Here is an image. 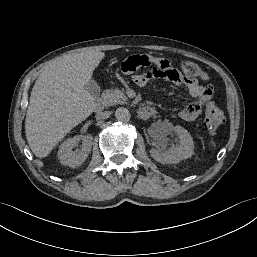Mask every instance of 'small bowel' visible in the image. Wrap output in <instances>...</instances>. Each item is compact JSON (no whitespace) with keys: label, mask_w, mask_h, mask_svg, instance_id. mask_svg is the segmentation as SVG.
<instances>
[{"label":"small bowel","mask_w":257,"mask_h":257,"mask_svg":"<svg viewBox=\"0 0 257 257\" xmlns=\"http://www.w3.org/2000/svg\"><path fill=\"white\" fill-rule=\"evenodd\" d=\"M153 62V63H152ZM119 75L125 79H131L134 86L145 88L150 85L152 79L165 80L174 83L178 88L191 92L198 100L186 105L179 117L184 121H194L201 113L204 101L211 97V89L201 86L197 80L179 68L173 67L168 60L152 59L145 53L130 55L121 60L117 66Z\"/></svg>","instance_id":"obj_1"}]
</instances>
